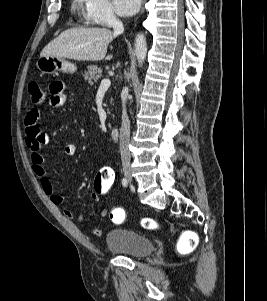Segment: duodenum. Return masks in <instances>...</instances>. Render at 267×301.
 Instances as JSON below:
<instances>
[{"label": "duodenum", "instance_id": "obj_1", "mask_svg": "<svg viewBox=\"0 0 267 301\" xmlns=\"http://www.w3.org/2000/svg\"><path fill=\"white\" fill-rule=\"evenodd\" d=\"M110 138L112 140H117L119 138V129L118 128H113L110 132Z\"/></svg>", "mask_w": 267, "mask_h": 301}]
</instances>
